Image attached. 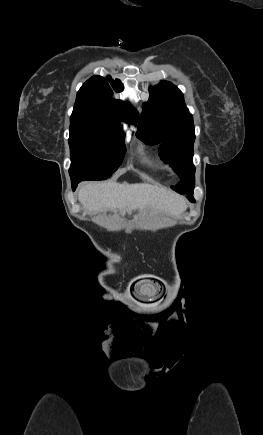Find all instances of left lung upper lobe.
<instances>
[{
  "instance_id": "left-lung-upper-lobe-1",
  "label": "left lung upper lobe",
  "mask_w": 263,
  "mask_h": 435,
  "mask_svg": "<svg viewBox=\"0 0 263 435\" xmlns=\"http://www.w3.org/2000/svg\"><path fill=\"white\" fill-rule=\"evenodd\" d=\"M137 137L148 144L162 143L160 156L181 178L172 189L191 194L195 186L193 117L182 92L172 83L161 81L151 88L150 98L143 104Z\"/></svg>"
}]
</instances>
